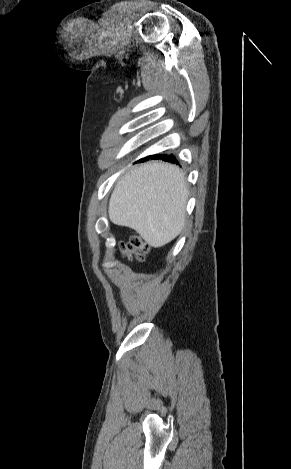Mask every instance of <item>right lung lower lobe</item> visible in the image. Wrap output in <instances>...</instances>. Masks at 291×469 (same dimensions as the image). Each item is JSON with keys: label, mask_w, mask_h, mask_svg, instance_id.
I'll use <instances>...</instances> for the list:
<instances>
[{"label": "right lung lower lobe", "mask_w": 291, "mask_h": 469, "mask_svg": "<svg viewBox=\"0 0 291 469\" xmlns=\"http://www.w3.org/2000/svg\"><path fill=\"white\" fill-rule=\"evenodd\" d=\"M148 158L162 159L164 161H169L172 163L176 161V158L173 155H153V156H149Z\"/></svg>", "instance_id": "right-lung-lower-lobe-1"}]
</instances>
